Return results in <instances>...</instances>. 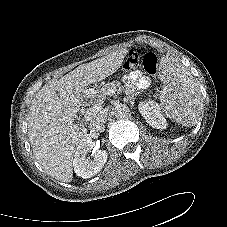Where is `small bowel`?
I'll list each match as a JSON object with an SVG mask.
<instances>
[{
	"instance_id": "c3829d8e",
	"label": "small bowel",
	"mask_w": 227,
	"mask_h": 227,
	"mask_svg": "<svg viewBox=\"0 0 227 227\" xmlns=\"http://www.w3.org/2000/svg\"><path fill=\"white\" fill-rule=\"evenodd\" d=\"M124 81L128 92H133L139 88H146L150 83L149 78L143 76L139 71L128 74L124 77Z\"/></svg>"
}]
</instances>
